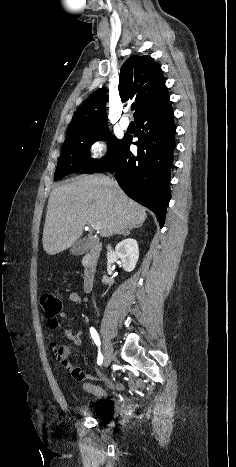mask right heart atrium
Instances as JSON below:
<instances>
[{
  "instance_id": "obj_1",
  "label": "right heart atrium",
  "mask_w": 236,
  "mask_h": 467,
  "mask_svg": "<svg viewBox=\"0 0 236 467\" xmlns=\"http://www.w3.org/2000/svg\"><path fill=\"white\" fill-rule=\"evenodd\" d=\"M88 157L92 162L99 161L107 151V144L102 138H95L88 145Z\"/></svg>"
}]
</instances>
